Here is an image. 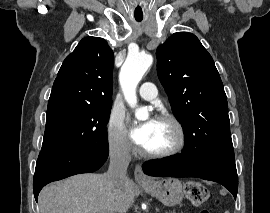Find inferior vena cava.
Wrapping results in <instances>:
<instances>
[{"instance_id": "1", "label": "inferior vena cava", "mask_w": 270, "mask_h": 213, "mask_svg": "<svg viewBox=\"0 0 270 213\" xmlns=\"http://www.w3.org/2000/svg\"><path fill=\"white\" fill-rule=\"evenodd\" d=\"M130 160V147L127 142H121L111 147L110 164L106 177L116 189L120 190L128 178L126 173ZM120 213H126V210H121Z\"/></svg>"}]
</instances>
